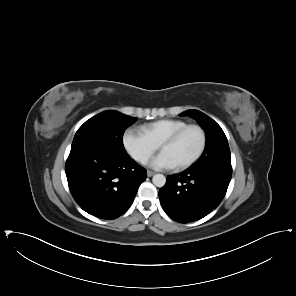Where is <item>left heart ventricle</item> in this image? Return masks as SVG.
<instances>
[{
  "label": "left heart ventricle",
  "mask_w": 296,
  "mask_h": 296,
  "mask_svg": "<svg viewBox=\"0 0 296 296\" xmlns=\"http://www.w3.org/2000/svg\"><path fill=\"white\" fill-rule=\"evenodd\" d=\"M201 143L200 132L196 129L187 131L175 144L168 147L166 153L174 163L183 162L191 158Z\"/></svg>",
  "instance_id": "obj_1"
}]
</instances>
